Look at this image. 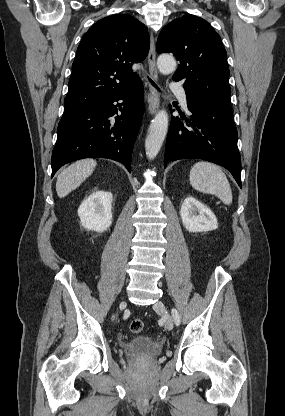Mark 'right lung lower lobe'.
Masks as SVG:
<instances>
[{"label":"right lung lower lobe","mask_w":285,"mask_h":416,"mask_svg":"<svg viewBox=\"0 0 285 416\" xmlns=\"http://www.w3.org/2000/svg\"><path fill=\"white\" fill-rule=\"evenodd\" d=\"M123 100V103L114 104ZM123 105V107H120ZM115 124L110 117L117 114ZM143 114V84H136L110 100L65 109L52 152V177L66 163L83 158H108L131 172V156Z\"/></svg>","instance_id":"obj_1"}]
</instances>
